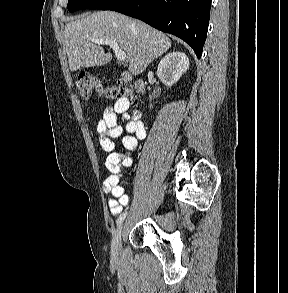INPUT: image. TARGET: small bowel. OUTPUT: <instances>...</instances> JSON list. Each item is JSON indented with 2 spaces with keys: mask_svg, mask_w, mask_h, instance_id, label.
I'll use <instances>...</instances> for the list:
<instances>
[{
  "mask_svg": "<svg viewBox=\"0 0 288 293\" xmlns=\"http://www.w3.org/2000/svg\"><path fill=\"white\" fill-rule=\"evenodd\" d=\"M127 99H119L108 107L97 123L101 148L107 153L106 167L110 175L103 182V190L112 215H118L129 203L125 191L126 170L133 164L132 154L137 148L138 141L146 137V128L138 110L130 112ZM120 116L124 127L118 123ZM126 130L127 135H123ZM121 139L125 153L116 151L117 139Z\"/></svg>",
  "mask_w": 288,
  "mask_h": 293,
  "instance_id": "1",
  "label": "small bowel"
}]
</instances>
